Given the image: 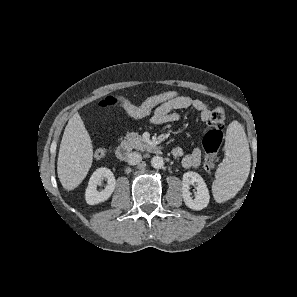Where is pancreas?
<instances>
[{
  "label": "pancreas",
  "mask_w": 297,
  "mask_h": 297,
  "mask_svg": "<svg viewBox=\"0 0 297 297\" xmlns=\"http://www.w3.org/2000/svg\"><path fill=\"white\" fill-rule=\"evenodd\" d=\"M123 146H125L128 150L137 149V150H145L147 145L141 138L138 133L131 132L128 133L124 140L121 142Z\"/></svg>",
  "instance_id": "pancreas-1"
}]
</instances>
